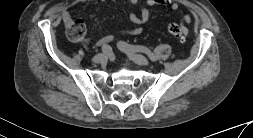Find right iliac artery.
<instances>
[{
  "label": "right iliac artery",
  "mask_w": 253,
  "mask_h": 138,
  "mask_svg": "<svg viewBox=\"0 0 253 138\" xmlns=\"http://www.w3.org/2000/svg\"><path fill=\"white\" fill-rule=\"evenodd\" d=\"M110 47L108 45H104L102 46V51L105 52V53H109L110 52Z\"/></svg>",
  "instance_id": "1"
}]
</instances>
